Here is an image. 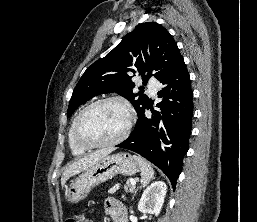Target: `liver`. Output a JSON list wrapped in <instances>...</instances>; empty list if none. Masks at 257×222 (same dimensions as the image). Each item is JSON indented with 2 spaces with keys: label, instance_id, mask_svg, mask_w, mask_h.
<instances>
[{
  "label": "liver",
  "instance_id": "6515ba94",
  "mask_svg": "<svg viewBox=\"0 0 257 222\" xmlns=\"http://www.w3.org/2000/svg\"><path fill=\"white\" fill-rule=\"evenodd\" d=\"M112 151H114V148H108V149H101L98 151H95L87 156H84L80 159H77L70 164L67 165V167L64 169L62 178H61V185L64 186L66 181L82 172L87 170L89 167L94 165L97 161L102 159L103 157L109 155Z\"/></svg>",
  "mask_w": 257,
  "mask_h": 222
}]
</instances>
